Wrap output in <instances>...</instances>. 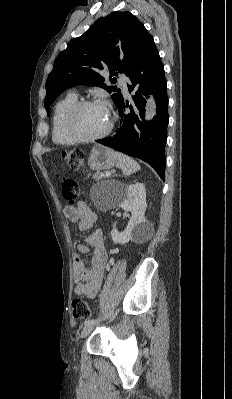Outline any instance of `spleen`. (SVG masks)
I'll list each match as a JSON object with an SVG mask.
<instances>
[{"instance_id":"obj_1","label":"spleen","mask_w":232,"mask_h":399,"mask_svg":"<svg viewBox=\"0 0 232 399\" xmlns=\"http://www.w3.org/2000/svg\"><path fill=\"white\" fill-rule=\"evenodd\" d=\"M116 164L117 168H120L125 176H131V174H135V172L141 170L135 160H132L129 156H124V154H118V152L116 154Z\"/></svg>"}]
</instances>
